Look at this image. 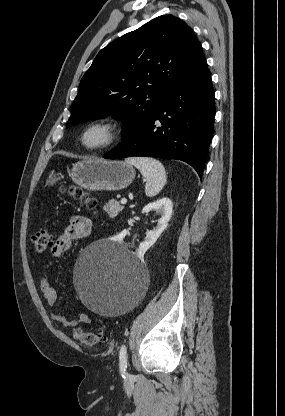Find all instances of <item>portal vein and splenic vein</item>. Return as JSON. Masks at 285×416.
I'll list each match as a JSON object with an SVG mask.
<instances>
[{
  "mask_svg": "<svg viewBox=\"0 0 285 416\" xmlns=\"http://www.w3.org/2000/svg\"><path fill=\"white\" fill-rule=\"evenodd\" d=\"M121 204H127V200L126 198H122V200H120Z\"/></svg>",
  "mask_w": 285,
  "mask_h": 416,
  "instance_id": "portal-vein-and-splenic-vein-1",
  "label": "portal vein and splenic vein"
}]
</instances>
